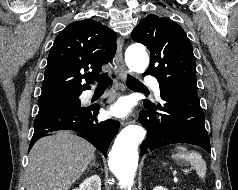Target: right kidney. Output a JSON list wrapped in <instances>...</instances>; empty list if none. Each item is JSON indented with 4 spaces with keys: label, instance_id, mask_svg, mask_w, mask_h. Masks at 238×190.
I'll use <instances>...</instances> for the list:
<instances>
[{
    "label": "right kidney",
    "instance_id": "right-kidney-1",
    "mask_svg": "<svg viewBox=\"0 0 238 190\" xmlns=\"http://www.w3.org/2000/svg\"><path fill=\"white\" fill-rule=\"evenodd\" d=\"M73 190H101V180L98 175H93L83 181L79 188Z\"/></svg>",
    "mask_w": 238,
    "mask_h": 190
}]
</instances>
